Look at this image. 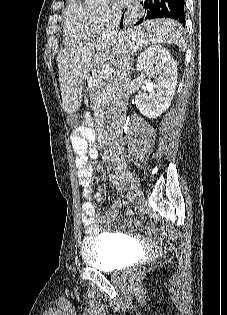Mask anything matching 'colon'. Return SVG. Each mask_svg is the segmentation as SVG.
Masks as SVG:
<instances>
[{
    "label": "colon",
    "instance_id": "colon-1",
    "mask_svg": "<svg viewBox=\"0 0 227 315\" xmlns=\"http://www.w3.org/2000/svg\"><path fill=\"white\" fill-rule=\"evenodd\" d=\"M78 123H79L78 116H76V115H71V116L68 118V124H69L71 127H77V126H78Z\"/></svg>",
    "mask_w": 227,
    "mask_h": 315
}]
</instances>
